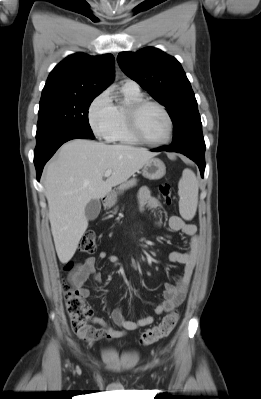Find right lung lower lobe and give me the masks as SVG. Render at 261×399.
Listing matches in <instances>:
<instances>
[{
    "label": "right lung lower lobe",
    "instance_id": "obj_1",
    "mask_svg": "<svg viewBox=\"0 0 261 399\" xmlns=\"http://www.w3.org/2000/svg\"><path fill=\"white\" fill-rule=\"evenodd\" d=\"M77 138L94 139L95 137L93 134L84 133L68 127L57 128L36 137L37 144L34 151V164L38 181L40 180L44 165L54 155L57 149L63 143Z\"/></svg>",
    "mask_w": 261,
    "mask_h": 399
}]
</instances>
